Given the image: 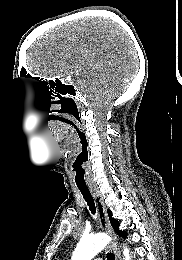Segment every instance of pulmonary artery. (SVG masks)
I'll list each match as a JSON object with an SVG mask.
<instances>
[{"label":"pulmonary artery","instance_id":"1","mask_svg":"<svg viewBox=\"0 0 182 260\" xmlns=\"http://www.w3.org/2000/svg\"><path fill=\"white\" fill-rule=\"evenodd\" d=\"M95 260H102V259H100V258H97V259H95Z\"/></svg>","mask_w":182,"mask_h":260}]
</instances>
